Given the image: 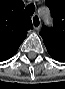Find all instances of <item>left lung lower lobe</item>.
<instances>
[{
  "label": "left lung lower lobe",
  "mask_w": 65,
  "mask_h": 89,
  "mask_svg": "<svg viewBox=\"0 0 65 89\" xmlns=\"http://www.w3.org/2000/svg\"><path fill=\"white\" fill-rule=\"evenodd\" d=\"M50 56L59 62H65V44L56 43L47 39H43Z\"/></svg>",
  "instance_id": "0a47b994"
}]
</instances>
